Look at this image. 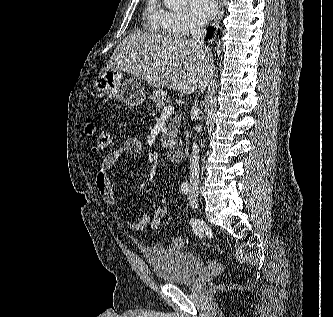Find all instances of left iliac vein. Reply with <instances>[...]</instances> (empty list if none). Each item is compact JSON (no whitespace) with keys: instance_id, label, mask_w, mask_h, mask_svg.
Listing matches in <instances>:
<instances>
[{"instance_id":"4c4485c4","label":"left iliac vein","mask_w":333,"mask_h":317,"mask_svg":"<svg viewBox=\"0 0 333 317\" xmlns=\"http://www.w3.org/2000/svg\"><path fill=\"white\" fill-rule=\"evenodd\" d=\"M189 202H190V205H191L193 208H196L197 205H198L197 194H195L194 192H191V193L189 194Z\"/></svg>"}]
</instances>
